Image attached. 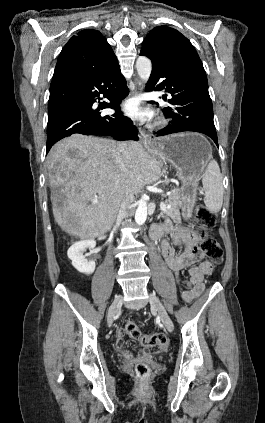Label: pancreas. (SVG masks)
<instances>
[{
  "label": "pancreas",
  "mask_w": 265,
  "mask_h": 423,
  "mask_svg": "<svg viewBox=\"0 0 265 423\" xmlns=\"http://www.w3.org/2000/svg\"><path fill=\"white\" fill-rule=\"evenodd\" d=\"M181 194L178 190H173L166 199L165 204L169 206L166 211H163L165 216L172 218L175 222L180 220L179 208L182 206Z\"/></svg>",
  "instance_id": "pancreas-1"
}]
</instances>
